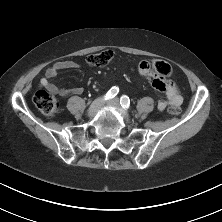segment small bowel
<instances>
[{
  "label": "small bowel",
  "instance_id": "small-bowel-1",
  "mask_svg": "<svg viewBox=\"0 0 222 222\" xmlns=\"http://www.w3.org/2000/svg\"><path fill=\"white\" fill-rule=\"evenodd\" d=\"M145 61L141 62L138 66V72L143 76L144 80H147L156 90L165 93V98H161L158 101V109L163 111L168 105H173L179 108L183 98L179 88L171 80H166L163 76L150 70L151 66L146 64ZM80 65L72 60L57 61L53 65L49 66L45 71V77L40 80V85L48 90L50 93L59 96L77 95L82 93V88H66L57 86L53 83V79L57 77L58 73L64 69H78Z\"/></svg>",
  "mask_w": 222,
  "mask_h": 222
}]
</instances>
